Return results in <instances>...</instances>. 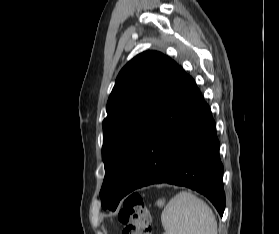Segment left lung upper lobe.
<instances>
[{
    "mask_svg": "<svg viewBox=\"0 0 279 234\" xmlns=\"http://www.w3.org/2000/svg\"><path fill=\"white\" fill-rule=\"evenodd\" d=\"M179 65L168 56L146 51L117 76L103 121L105 177L102 208L114 211L147 128Z\"/></svg>",
    "mask_w": 279,
    "mask_h": 234,
    "instance_id": "left-lung-upper-lobe-1",
    "label": "left lung upper lobe"
}]
</instances>
